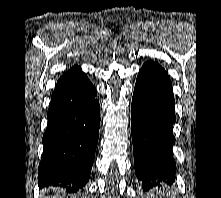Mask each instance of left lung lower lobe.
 <instances>
[{"mask_svg":"<svg viewBox=\"0 0 221 198\" xmlns=\"http://www.w3.org/2000/svg\"><path fill=\"white\" fill-rule=\"evenodd\" d=\"M174 103L167 72L156 62H145L137 76L131 109L135 174L144 190L160 186L151 181H175Z\"/></svg>","mask_w":221,"mask_h":198,"instance_id":"obj_1","label":"left lung lower lobe"}]
</instances>
